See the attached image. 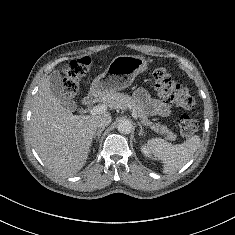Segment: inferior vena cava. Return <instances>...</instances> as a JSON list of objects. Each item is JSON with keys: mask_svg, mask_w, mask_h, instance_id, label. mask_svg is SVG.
I'll return each instance as SVG.
<instances>
[{"mask_svg": "<svg viewBox=\"0 0 235 235\" xmlns=\"http://www.w3.org/2000/svg\"><path fill=\"white\" fill-rule=\"evenodd\" d=\"M111 123V116L110 115H104L101 116L97 121V127L103 128L108 126Z\"/></svg>", "mask_w": 235, "mask_h": 235, "instance_id": "inferior-vena-cava-1", "label": "inferior vena cava"}]
</instances>
